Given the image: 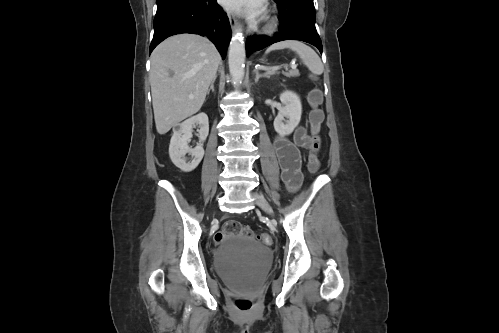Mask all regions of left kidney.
Segmentation results:
<instances>
[{
  "label": "left kidney",
  "instance_id": "1",
  "mask_svg": "<svg viewBox=\"0 0 499 333\" xmlns=\"http://www.w3.org/2000/svg\"><path fill=\"white\" fill-rule=\"evenodd\" d=\"M282 109L274 119V129L281 135H290L301 120L302 105L299 96L293 91L286 90L280 94Z\"/></svg>",
  "mask_w": 499,
  "mask_h": 333
}]
</instances>
